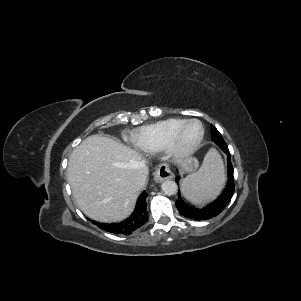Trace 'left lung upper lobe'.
<instances>
[{
	"label": "left lung upper lobe",
	"instance_id": "left-lung-upper-lobe-1",
	"mask_svg": "<svg viewBox=\"0 0 301 301\" xmlns=\"http://www.w3.org/2000/svg\"><path fill=\"white\" fill-rule=\"evenodd\" d=\"M211 133H215V134H217V136L219 137V138H222V136H221V134L219 133V131L216 129V127L215 126H213V125H211ZM223 139V138H222Z\"/></svg>",
	"mask_w": 301,
	"mask_h": 301
}]
</instances>
